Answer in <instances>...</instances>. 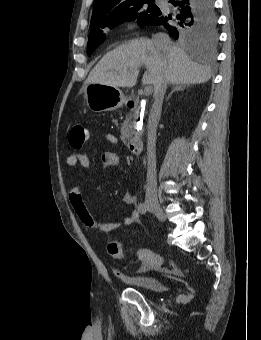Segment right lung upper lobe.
Masks as SVG:
<instances>
[{"mask_svg":"<svg viewBox=\"0 0 261 340\" xmlns=\"http://www.w3.org/2000/svg\"><path fill=\"white\" fill-rule=\"evenodd\" d=\"M143 0H95L91 21L115 14L119 9Z\"/></svg>","mask_w":261,"mask_h":340,"instance_id":"right-lung-upper-lobe-1","label":"right lung upper lobe"}]
</instances>
